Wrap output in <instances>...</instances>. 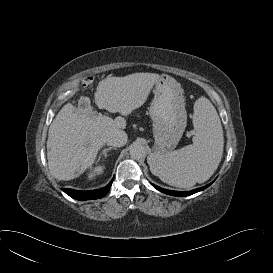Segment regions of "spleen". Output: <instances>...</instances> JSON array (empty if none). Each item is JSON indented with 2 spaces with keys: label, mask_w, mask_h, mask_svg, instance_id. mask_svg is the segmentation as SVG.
<instances>
[{
  "label": "spleen",
  "mask_w": 273,
  "mask_h": 273,
  "mask_svg": "<svg viewBox=\"0 0 273 273\" xmlns=\"http://www.w3.org/2000/svg\"><path fill=\"white\" fill-rule=\"evenodd\" d=\"M193 126V144L173 152H154L148 157L152 174L171 186L189 188L207 181L222 159L221 121L215 107L205 97L194 104Z\"/></svg>",
  "instance_id": "spleen-1"
}]
</instances>
